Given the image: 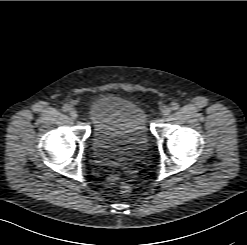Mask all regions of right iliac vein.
I'll return each instance as SVG.
<instances>
[{"label":"right iliac vein","mask_w":247,"mask_h":245,"mask_svg":"<svg viewBox=\"0 0 247 245\" xmlns=\"http://www.w3.org/2000/svg\"><path fill=\"white\" fill-rule=\"evenodd\" d=\"M69 114H70V116H71L72 119H76L77 116H78V113H77V111L74 108H71L69 110Z\"/></svg>","instance_id":"right-iliac-vein-1"}]
</instances>
